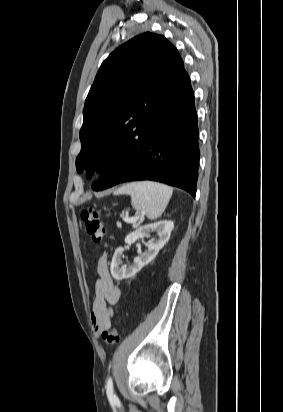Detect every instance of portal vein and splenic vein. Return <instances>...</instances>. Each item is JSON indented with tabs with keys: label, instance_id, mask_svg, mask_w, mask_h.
Listing matches in <instances>:
<instances>
[{
	"label": "portal vein and splenic vein",
	"instance_id": "1",
	"mask_svg": "<svg viewBox=\"0 0 283 412\" xmlns=\"http://www.w3.org/2000/svg\"><path fill=\"white\" fill-rule=\"evenodd\" d=\"M123 220H124L126 223H131V224H133V225H136L137 222H138V220H139V217H123Z\"/></svg>",
	"mask_w": 283,
	"mask_h": 412
}]
</instances>
